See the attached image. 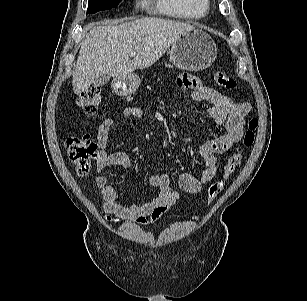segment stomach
I'll return each mask as SVG.
<instances>
[{
	"mask_svg": "<svg viewBox=\"0 0 307 301\" xmlns=\"http://www.w3.org/2000/svg\"><path fill=\"white\" fill-rule=\"evenodd\" d=\"M217 57V47L205 31L191 29L182 33L170 49V59L174 66L186 71H201L210 67ZM141 80L131 73L116 77L112 81V90L117 95L125 96L134 93Z\"/></svg>",
	"mask_w": 307,
	"mask_h": 301,
	"instance_id": "0dacf381",
	"label": "stomach"
}]
</instances>
